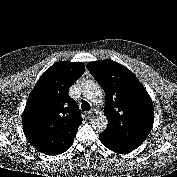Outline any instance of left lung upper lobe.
<instances>
[{
    "label": "left lung upper lobe",
    "mask_w": 177,
    "mask_h": 177,
    "mask_svg": "<svg viewBox=\"0 0 177 177\" xmlns=\"http://www.w3.org/2000/svg\"><path fill=\"white\" fill-rule=\"evenodd\" d=\"M87 69L106 94L104 112L109 126L99 135L101 140L138 147L154 122V108L147 91L130 70L114 61L93 62Z\"/></svg>",
    "instance_id": "obj_1"
}]
</instances>
